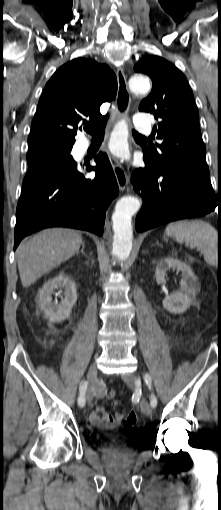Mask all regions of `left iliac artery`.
<instances>
[{"label":"left iliac artery","instance_id":"1","mask_svg":"<svg viewBox=\"0 0 221 510\" xmlns=\"http://www.w3.org/2000/svg\"><path fill=\"white\" fill-rule=\"evenodd\" d=\"M144 381L145 383L149 386V388L151 387V376L146 373L144 375ZM137 383H139V381H137ZM150 404L153 408H155L157 406V398L154 394L151 395V398H150Z\"/></svg>","mask_w":221,"mask_h":510}]
</instances>
